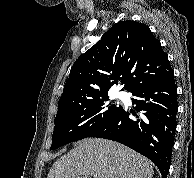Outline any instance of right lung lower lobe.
<instances>
[{"label": "right lung lower lobe", "mask_w": 194, "mask_h": 178, "mask_svg": "<svg viewBox=\"0 0 194 178\" xmlns=\"http://www.w3.org/2000/svg\"><path fill=\"white\" fill-rule=\"evenodd\" d=\"M136 110L135 120L122 108L88 137H100L122 143L153 161L162 178H167L176 130L177 86L174 73L143 85L131 92ZM135 115V114H134Z\"/></svg>", "instance_id": "98d812e1"}]
</instances>
